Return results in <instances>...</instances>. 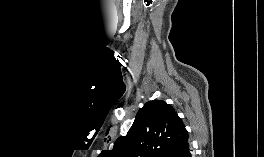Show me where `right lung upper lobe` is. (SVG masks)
Segmentation results:
<instances>
[{
    "label": "right lung upper lobe",
    "instance_id": "right-lung-upper-lobe-1",
    "mask_svg": "<svg viewBox=\"0 0 264 157\" xmlns=\"http://www.w3.org/2000/svg\"><path fill=\"white\" fill-rule=\"evenodd\" d=\"M187 142L188 132L174 108L153 100L139 110L127 135L119 137L106 156L171 157Z\"/></svg>",
    "mask_w": 264,
    "mask_h": 157
}]
</instances>
